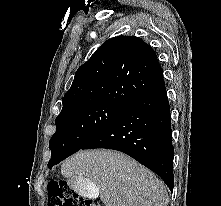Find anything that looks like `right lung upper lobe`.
<instances>
[{
  "instance_id": "1",
  "label": "right lung upper lobe",
  "mask_w": 221,
  "mask_h": 206,
  "mask_svg": "<svg viewBox=\"0 0 221 206\" xmlns=\"http://www.w3.org/2000/svg\"><path fill=\"white\" fill-rule=\"evenodd\" d=\"M163 79L155 51L134 36L107 40L75 73L61 112L94 103L125 107Z\"/></svg>"
}]
</instances>
